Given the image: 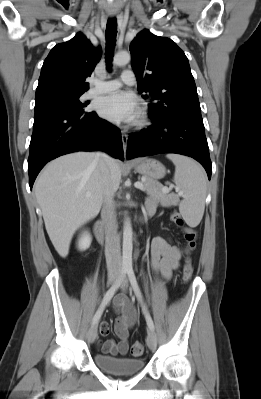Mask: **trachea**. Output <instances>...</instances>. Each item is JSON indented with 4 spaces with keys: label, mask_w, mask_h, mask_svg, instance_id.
Masks as SVG:
<instances>
[{
    "label": "trachea",
    "mask_w": 261,
    "mask_h": 399,
    "mask_svg": "<svg viewBox=\"0 0 261 399\" xmlns=\"http://www.w3.org/2000/svg\"><path fill=\"white\" fill-rule=\"evenodd\" d=\"M116 35H117V21L115 18L108 19L106 26V38L108 41L106 59H107L108 69H110L111 66L110 63L113 57V47L116 42Z\"/></svg>",
    "instance_id": "1"
}]
</instances>
